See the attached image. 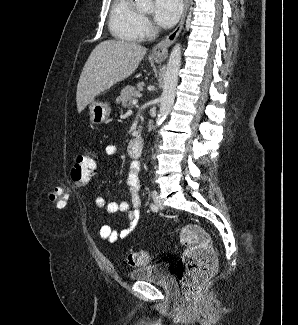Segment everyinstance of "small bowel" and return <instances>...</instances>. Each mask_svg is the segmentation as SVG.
Listing matches in <instances>:
<instances>
[{
	"label": "small bowel",
	"instance_id": "c3829d8e",
	"mask_svg": "<svg viewBox=\"0 0 298 325\" xmlns=\"http://www.w3.org/2000/svg\"><path fill=\"white\" fill-rule=\"evenodd\" d=\"M104 152L107 157H114L117 154V147L112 144L107 145ZM139 172V162L132 161L130 163L129 174L127 177V185L130 191L131 204L126 201L107 203L105 198L100 195L96 196L94 199L95 205L102 210L103 217H108L116 212L124 213L127 216L128 223L120 231L114 230L108 224H105L100 228L99 235L101 239L109 243H114L117 240L126 238L131 232L134 231L139 223L142 208V202L139 195Z\"/></svg>",
	"mask_w": 298,
	"mask_h": 325
}]
</instances>
